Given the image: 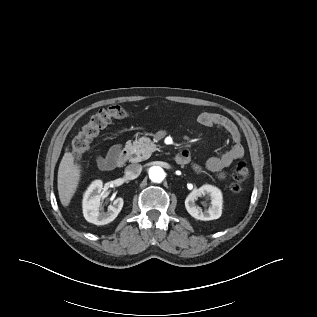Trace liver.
Returning a JSON list of instances; mask_svg holds the SVG:
<instances>
[{
	"label": "liver",
	"mask_w": 317,
	"mask_h": 317,
	"mask_svg": "<svg viewBox=\"0 0 317 317\" xmlns=\"http://www.w3.org/2000/svg\"><path fill=\"white\" fill-rule=\"evenodd\" d=\"M80 180V167L74 164V157L66 152L60 162L57 176L59 198L63 206H68Z\"/></svg>",
	"instance_id": "liver-1"
}]
</instances>
